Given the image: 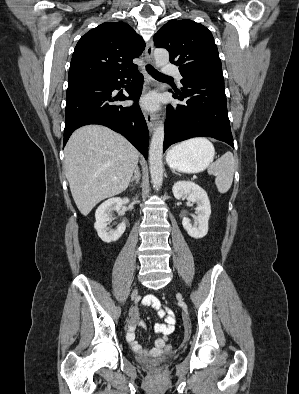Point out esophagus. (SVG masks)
Instances as JSON below:
<instances>
[{
    "label": "esophagus",
    "mask_w": 299,
    "mask_h": 394,
    "mask_svg": "<svg viewBox=\"0 0 299 394\" xmlns=\"http://www.w3.org/2000/svg\"><path fill=\"white\" fill-rule=\"evenodd\" d=\"M145 56H146V62L152 64L153 63V41H149L147 43L146 49H145ZM146 84L149 87V85H153V81L151 77L146 74ZM144 117L148 126V129L150 132L153 131L155 125H156V115L154 113H151L149 111L144 110Z\"/></svg>",
    "instance_id": "obj_1"
}]
</instances>
